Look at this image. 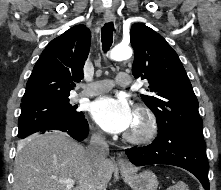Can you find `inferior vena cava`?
Returning a JSON list of instances; mask_svg holds the SVG:
<instances>
[{
    "label": "inferior vena cava",
    "mask_w": 221,
    "mask_h": 190,
    "mask_svg": "<svg viewBox=\"0 0 221 190\" xmlns=\"http://www.w3.org/2000/svg\"><path fill=\"white\" fill-rule=\"evenodd\" d=\"M86 153L94 164L106 161L109 154V146L101 132L92 134Z\"/></svg>",
    "instance_id": "1"
}]
</instances>
